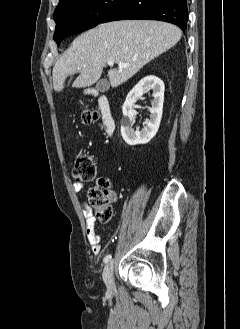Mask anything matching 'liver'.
<instances>
[{"instance_id":"6515ba94","label":"liver","mask_w":240,"mask_h":329,"mask_svg":"<svg viewBox=\"0 0 240 329\" xmlns=\"http://www.w3.org/2000/svg\"><path fill=\"white\" fill-rule=\"evenodd\" d=\"M175 25L160 21L126 20L98 25L78 36L53 68L54 90H63L67 77L79 73L73 87H89L100 78L108 61L126 68L108 71L112 87L133 77L143 66L181 39Z\"/></svg>"}]
</instances>
